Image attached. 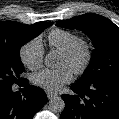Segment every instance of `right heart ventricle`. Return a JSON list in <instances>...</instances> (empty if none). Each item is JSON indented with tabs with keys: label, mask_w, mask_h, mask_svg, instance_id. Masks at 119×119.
Masks as SVG:
<instances>
[{
	"label": "right heart ventricle",
	"mask_w": 119,
	"mask_h": 119,
	"mask_svg": "<svg viewBox=\"0 0 119 119\" xmlns=\"http://www.w3.org/2000/svg\"><path fill=\"white\" fill-rule=\"evenodd\" d=\"M79 39L78 34L65 29H54L47 36L49 47L59 52H64Z\"/></svg>",
	"instance_id": "1"
}]
</instances>
